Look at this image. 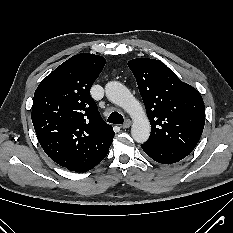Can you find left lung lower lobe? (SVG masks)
Masks as SVG:
<instances>
[{"label":"left lung lower lobe","mask_w":233,"mask_h":233,"mask_svg":"<svg viewBox=\"0 0 233 233\" xmlns=\"http://www.w3.org/2000/svg\"><path fill=\"white\" fill-rule=\"evenodd\" d=\"M141 147L149 157L161 164H172L178 162L191 153L187 150L149 139L144 144H141Z\"/></svg>","instance_id":"0a47b994"}]
</instances>
